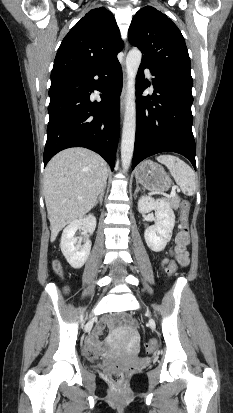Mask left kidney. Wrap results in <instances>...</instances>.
Returning a JSON list of instances; mask_svg holds the SVG:
<instances>
[{"instance_id": "left-kidney-1", "label": "left kidney", "mask_w": 233, "mask_h": 413, "mask_svg": "<svg viewBox=\"0 0 233 413\" xmlns=\"http://www.w3.org/2000/svg\"><path fill=\"white\" fill-rule=\"evenodd\" d=\"M155 211L156 222L148 227L144 232L147 246L154 252L165 249L172 237V230L175 225V215L169 203L164 200H154L148 196H142L138 200V211L148 213Z\"/></svg>"}]
</instances>
